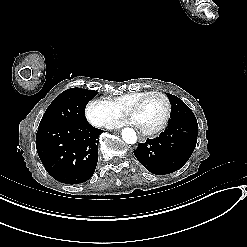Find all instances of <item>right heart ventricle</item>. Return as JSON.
Segmentation results:
<instances>
[{
  "label": "right heart ventricle",
  "mask_w": 247,
  "mask_h": 247,
  "mask_svg": "<svg viewBox=\"0 0 247 247\" xmlns=\"http://www.w3.org/2000/svg\"><path fill=\"white\" fill-rule=\"evenodd\" d=\"M148 92H150V90L128 93L117 98L114 103L117 105L133 106L136 101L146 99L145 96Z\"/></svg>",
  "instance_id": "e07e8e85"
}]
</instances>
